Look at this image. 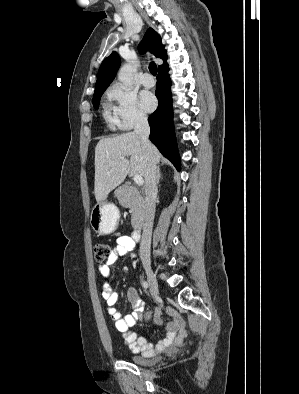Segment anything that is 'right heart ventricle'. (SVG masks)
<instances>
[{
	"mask_svg": "<svg viewBox=\"0 0 299 394\" xmlns=\"http://www.w3.org/2000/svg\"><path fill=\"white\" fill-rule=\"evenodd\" d=\"M104 115L111 123H114V119L111 117L110 112L108 110L105 111Z\"/></svg>",
	"mask_w": 299,
	"mask_h": 394,
	"instance_id": "right-heart-ventricle-1",
	"label": "right heart ventricle"
}]
</instances>
